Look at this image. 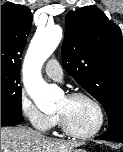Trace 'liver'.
Segmentation results:
<instances>
[{
	"label": "liver",
	"instance_id": "6515ba94",
	"mask_svg": "<svg viewBox=\"0 0 123 152\" xmlns=\"http://www.w3.org/2000/svg\"><path fill=\"white\" fill-rule=\"evenodd\" d=\"M77 142L43 136L27 127H1V152H70Z\"/></svg>",
	"mask_w": 123,
	"mask_h": 152
}]
</instances>
